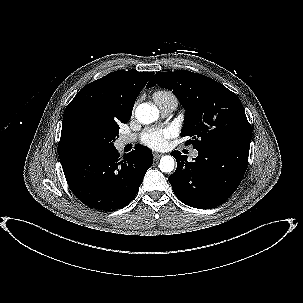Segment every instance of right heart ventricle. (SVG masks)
Segmentation results:
<instances>
[{
  "mask_svg": "<svg viewBox=\"0 0 303 303\" xmlns=\"http://www.w3.org/2000/svg\"><path fill=\"white\" fill-rule=\"evenodd\" d=\"M153 99L159 107L166 103H175L176 105L178 103L176 96L167 90L155 91L153 93Z\"/></svg>",
  "mask_w": 303,
  "mask_h": 303,
  "instance_id": "e07e8e85",
  "label": "right heart ventricle"
}]
</instances>
